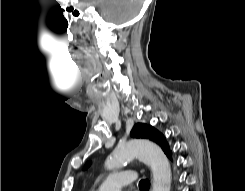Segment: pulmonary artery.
Wrapping results in <instances>:
<instances>
[{"label":"pulmonary artery","mask_w":245,"mask_h":191,"mask_svg":"<svg viewBox=\"0 0 245 191\" xmlns=\"http://www.w3.org/2000/svg\"><path fill=\"white\" fill-rule=\"evenodd\" d=\"M134 178L131 170L113 173L101 183L97 191H121L122 188L131 185Z\"/></svg>","instance_id":"pulmonary-artery-1"}]
</instances>
